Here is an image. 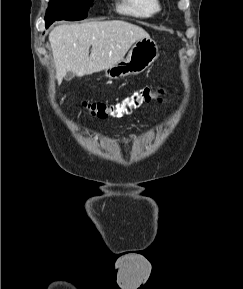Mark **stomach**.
Here are the masks:
<instances>
[{
    "label": "stomach",
    "mask_w": 243,
    "mask_h": 289,
    "mask_svg": "<svg viewBox=\"0 0 243 289\" xmlns=\"http://www.w3.org/2000/svg\"><path fill=\"white\" fill-rule=\"evenodd\" d=\"M158 57V46L150 37L135 42L125 59L105 69V75L119 79L129 74H140Z\"/></svg>",
    "instance_id": "0dacf381"
}]
</instances>
